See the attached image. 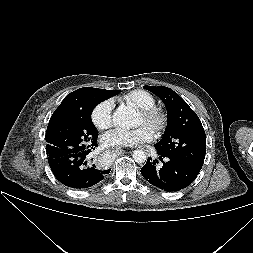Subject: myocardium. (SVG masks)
<instances>
[{
	"label": "myocardium",
	"instance_id": "1",
	"mask_svg": "<svg viewBox=\"0 0 253 253\" xmlns=\"http://www.w3.org/2000/svg\"><path fill=\"white\" fill-rule=\"evenodd\" d=\"M140 114L146 121L152 124L153 131L156 135H160L167 127L168 115L165 110L153 106L146 109H140Z\"/></svg>",
	"mask_w": 253,
	"mask_h": 253
}]
</instances>
